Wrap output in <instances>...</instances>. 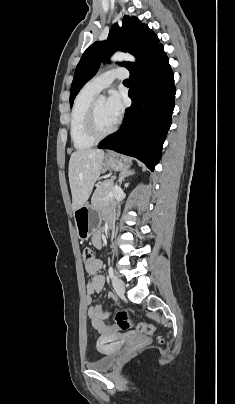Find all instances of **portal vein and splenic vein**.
Segmentation results:
<instances>
[{
    "mask_svg": "<svg viewBox=\"0 0 235 404\" xmlns=\"http://www.w3.org/2000/svg\"><path fill=\"white\" fill-rule=\"evenodd\" d=\"M114 196V193L111 191L108 193L107 198H112Z\"/></svg>",
    "mask_w": 235,
    "mask_h": 404,
    "instance_id": "portal-vein-and-splenic-vein-1",
    "label": "portal vein and splenic vein"
}]
</instances>
